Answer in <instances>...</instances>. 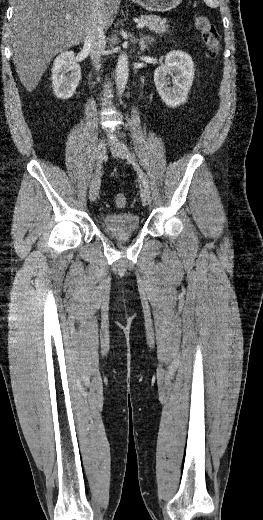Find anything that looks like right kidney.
<instances>
[{"instance_id": "obj_1", "label": "right kidney", "mask_w": 263, "mask_h": 520, "mask_svg": "<svg viewBox=\"0 0 263 520\" xmlns=\"http://www.w3.org/2000/svg\"><path fill=\"white\" fill-rule=\"evenodd\" d=\"M80 78L81 68L75 61L74 52L65 51L56 57L52 68V87L57 98H71Z\"/></svg>"}]
</instances>
